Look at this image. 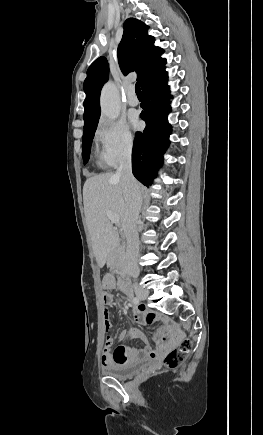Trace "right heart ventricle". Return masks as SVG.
I'll return each instance as SVG.
<instances>
[{
    "mask_svg": "<svg viewBox=\"0 0 263 435\" xmlns=\"http://www.w3.org/2000/svg\"><path fill=\"white\" fill-rule=\"evenodd\" d=\"M100 165H104V162H103V160L102 159H100Z\"/></svg>",
    "mask_w": 263,
    "mask_h": 435,
    "instance_id": "e07e8e85",
    "label": "right heart ventricle"
}]
</instances>
